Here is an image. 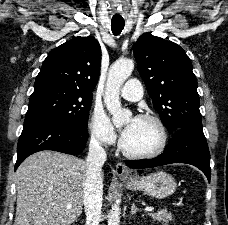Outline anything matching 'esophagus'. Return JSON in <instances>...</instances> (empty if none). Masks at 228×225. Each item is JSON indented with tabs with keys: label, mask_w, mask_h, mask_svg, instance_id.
<instances>
[{
	"label": "esophagus",
	"mask_w": 228,
	"mask_h": 225,
	"mask_svg": "<svg viewBox=\"0 0 228 225\" xmlns=\"http://www.w3.org/2000/svg\"><path fill=\"white\" fill-rule=\"evenodd\" d=\"M115 172L120 178H126L132 174L131 170H129L122 162L117 163Z\"/></svg>",
	"instance_id": "obj_1"
}]
</instances>
